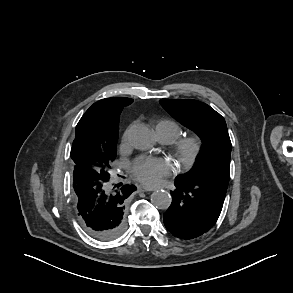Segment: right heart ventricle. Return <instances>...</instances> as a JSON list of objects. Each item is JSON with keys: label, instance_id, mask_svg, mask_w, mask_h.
Wrapping results in <instances>:
<instances>
[{"label": "right heart ventricle", "instance_id": "right-heart-ventricle-1", "mask_svg": "<svg viewBox=\"0 0 293 293\" xmlns=\"http://www.w3.org/2000/svg\"><path fill=\"white\" fill-rule=\"evenodd\" d=\"M158 135L167 137L170 142L175 141L181 134L182 129L180 125L171 119H162L156 125Z\"/></svg>", "mask_w": 293, "mask_h": 293}]
</instances>
